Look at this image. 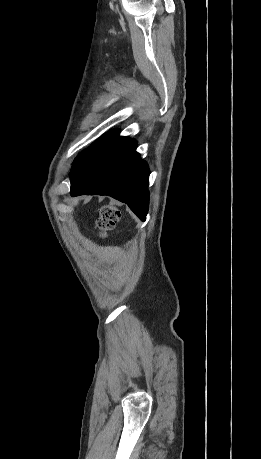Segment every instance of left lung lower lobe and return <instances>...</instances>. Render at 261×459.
<instances>
[{
    "label": "left lung lower lobe",
    "instance_id": "obj_1",
    "mask_svg": "<svg viewBox=\"0 0 261 459\" xmlns=\"http://www.w3.org/2000/svg\"><path fill=\"white\" fill-rule=\"evenodd\" d=\"M135 149V140L116 132L71 175V196L109 195L145 221L149 169Z\"/></svg>",
    "mask_w": 261,
    "mask_h": 459
}]
</instances>
